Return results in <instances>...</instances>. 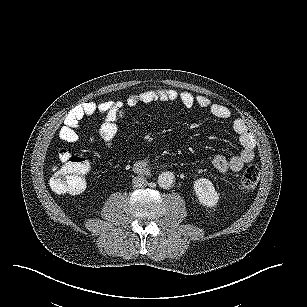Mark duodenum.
<instances>
[{"label": "duodenum", "instance_id": "1", "mask_svg": "<svg viewBox=\"0 0 307 307\" xmlns=\"http://www.w3.org/2000/svg\"><path fill=\"white\" fill-rule=\"evenodd\" d=\"M134 170L139 174H150L151 169L146 162H138L134 165Z\"/></svg>", "mask_w": 307, "mask_h": 307}]
</instances>
